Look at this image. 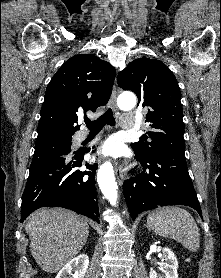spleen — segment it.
I'll list each match as a JSON object with an SVG mask.
<instances>
[{"mask_svg": "<svg viewBox=\"0 0 221 278\" xmlns=\"http://www.w3.org/2000/svg\"><path fill=\"white\" fill-rule=\"evenodd\" d=\"M148 227L161 237L181 243L189 251L200 247V236L194 218L184 209L176 206L160 207L147 217Z\"/></svg>", "mask_w": 221, "mask_h": 278, "instance_id": "obj_1", "label": "spleen"}]
</instances>
